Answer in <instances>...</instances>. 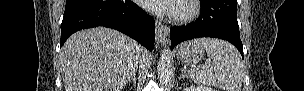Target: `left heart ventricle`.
Listing matches in <instances>:
<instances>
[{"label": "left heart ventricle", "mask_w": 304, "mask_h": 91, "mask_svg": "<svg viewBox=\"0 0 304 91\" xmlns=\"http://www.w3.org/2000/svg\"><path fill=\"white\" fill-rule=\"evenodd\" d=\"M185 10V7L183 5H181L179 2L177 4V9H176V13L178 12H182Z\"/></svg>", "instance_id": "obj_1"}]
</instances>
